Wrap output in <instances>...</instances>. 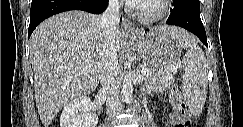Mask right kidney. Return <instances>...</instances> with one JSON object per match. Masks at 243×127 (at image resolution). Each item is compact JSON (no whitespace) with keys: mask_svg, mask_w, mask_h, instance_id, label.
Instances as JSON below:
<instances>
[{"mask_svg":"<svg viewBox=\"0 0 243 127\" xmlns=\"http://www.w3.org/2000/svg\"><path fill=\"white\" fill-rule=\"evenodd\" d=\"M91 100L79 96L67 103L60 117V127H95L98 117L90 110Z\"/></svg>","mask_w":243,"mask_h":127,"instance_id":"ca27d5eb","label":"right kidney"}]
</instances>
